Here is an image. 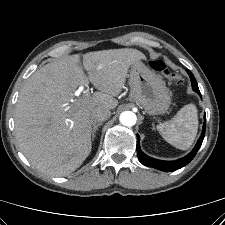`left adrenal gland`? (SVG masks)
<instances>
[{"mask_svg":"<svg viewBox=\"0 0 225 225\" xmlns=\"http://www.w3.org/2000/svg\"><path fill=\"white\" fill-rule=\"evenodd\" d=\"M152 129H153V130L155 129V128H154V124H153V128H152Z\"/></svg>","mask_w":225,"mask_h":225,"instance_id":"left-adrenal-gland-1","label":"left adrenal gland"}]
</instances>
